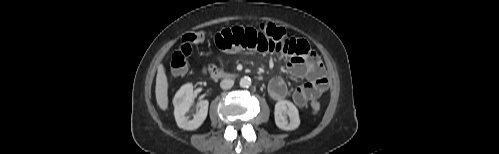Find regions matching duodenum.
Wrapping results in <instances>:
<instances>
[{
  "label": "duodenum",
  "instance_id": "duodenum-1",
  "mask_svg": "<svg viewBox=\"0 0 499 154\" xmlns=\"http://www.w3.org/2000/svg\"><path fill=\"white\" fill-rule=\"evenodd\" d=\"M209 74L213 79H233L238 76L236 72H226V71L218 72V71H213L211 69L209 70Z\"/></svg>",
  "mask_w": 499,
  "mask_h": 154
}]
</instances>
